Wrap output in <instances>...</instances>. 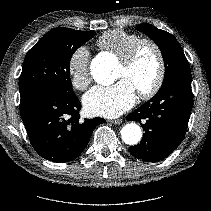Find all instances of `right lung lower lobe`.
<instances>
[{"label":"right lung lower lobe","instance_id":"right-lung-lower-lobe-1","mask_svg":"<svg viewBox=\"0 0 211 211\" xmlns=\"http://www.w3.org/2000/svg\"><path fill=\"white\" fill-rule=\"evenodd\" d=\"M81 103L77 96L55 92L34 93L20 102V114L31 145L43 158L52 162L76 159L87 146L102 118L79 121Z\"/></svg>","mask_w":211,"mask_h":211}]
</instances>
